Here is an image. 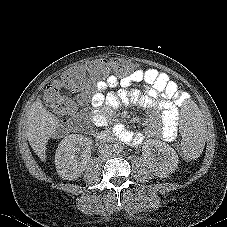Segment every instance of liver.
Wrapping results in <instances>:
<instances>
[{
  "label": "liver",
  "mask_w": 227,
  "mask_h": 227,
  "mask_svg": "<svg viewBox=\"0 0 227 227\" xmlns=\"http://www.w3.org/2000/svg\"><path fill=\"white\" fill-rule=\"evenodd\" d=\"M59 126L58 118L38 98L27 112L26 135L41 161H46V145Z\"/></svg>",
  "instance_id": "liver-1"
}]
</instances>
